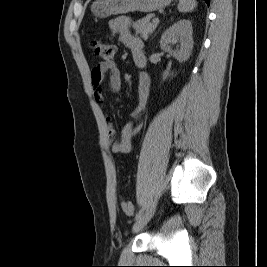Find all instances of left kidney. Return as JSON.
I'll use <instances>...</instances> for the list:
<instances>
[{
  "label": "left kidney",
  "instance_id": "1",
  "mask_svg": "<svg viewBox=\"0 0 267 267\" xmlns=\"http://www.w3.org/2000/svg\"><path fill=\"white\" fill-rule=\"evenodd\" d=\"M192 33L191 21L186 19L177 21L162 34L160 47L162 50L172 54L179 62L186 61L190 57L193 48ZM174 44H177L176 50L171 47ZM168 75L169 73L165 72L163 76L167 77Z\"/></svg>",
  "mask_w": 267,
  "mask_h": 267
}]
</instances>
